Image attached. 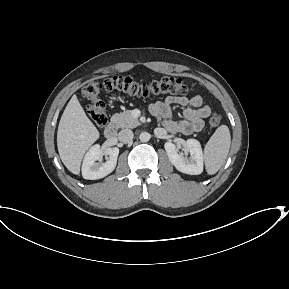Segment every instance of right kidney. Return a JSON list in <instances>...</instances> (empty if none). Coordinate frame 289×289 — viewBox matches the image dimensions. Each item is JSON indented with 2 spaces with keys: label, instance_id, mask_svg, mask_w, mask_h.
I'll return each mask as SVG.
<instances>
[{
  "label": "right kidney",
  "instance_id": "1",
  "mask_svg": "<svg viewBox=\"0 0 289 289\" xmlns=\"http://www.w3.org/2000/svg\"><path fill=\"white\" fill-rule=\"evenodd\" d=\"M108 155L105 163H97L103 155ZM119 149L107 148L104 151L98 144L92 146L86 153L82 164V176L84 179L96 180L110 174L116 167Z\"/></svg>",
  "mask_w": 289,
  "mask_h": 289
}]
</instances>
